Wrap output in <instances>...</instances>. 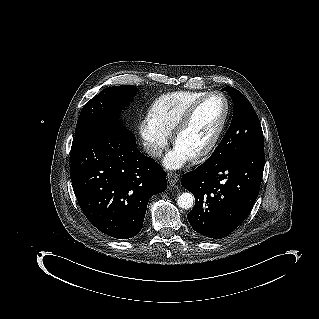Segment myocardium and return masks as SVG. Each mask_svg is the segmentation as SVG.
Returning a JSON list of instances; mask_svg holds the SVG:
<instances>
[{
  "label": "myocardium",
  "mask_w": 319,
  "mask_h": 319,
  "mask_svg": "<svg viewBox=\"0 0 319 319\" xmlns=\"http://www.w3.org/2000/svg\"><path fill=\"white\" fill-rule=\"evenodd\" d=\"M213 97H218V98H220L223 101V103H224L223 115L221 117V120L219 122L218 127L216 128L215 132L213 133L212 137L207 142V144L204 145L202 148L196 150V151L190 152L191 155L193 156V158H195V159H198V158H201V157L207 155L214 148V146L216 145L218 139L221 136V133H222V131L224 129V126L226 124L227 117H228V112H229V104H228V101H227L226 97L224 96V94H222L221 92H218V91H214V92H209V93H206L205 95H203L201 98H199L196 102H194L187 109V111L184 113L182 118L179 120V122L174 127V130H173V133H172V139H173L174 143L178 144L179 134H180L181 130L184 128V126L190 120L193 112L196 110V108L202 102L206 101L207 99L213 98Z\"/></svg>",
  "instance_id": "obj_1"
}]
</instances>
